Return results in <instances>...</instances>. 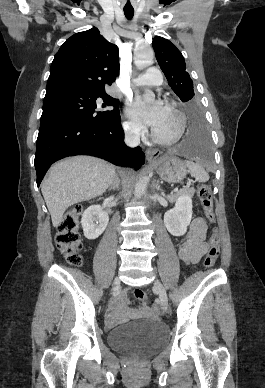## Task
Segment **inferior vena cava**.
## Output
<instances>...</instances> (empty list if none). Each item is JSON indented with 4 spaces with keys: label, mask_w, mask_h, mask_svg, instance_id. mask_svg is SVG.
I'll use <instances>...</instances> for the list:
<instances>
[{
    "label": "inferior vena cava",
    "mask_w": 265,
    "mask_h": 388,
    "mask_svg": "<svg viewBox=\"0 0 265 388\" xmlns=\"http://www.w3.org/2000/svg\"><path fill=\"white\" fill-rule=\"evenodd\" d=\"M125 144L130 148H136L140 144V128H130L125 132Z\"/></svg>",
    "instance_id": "obj_1"
}]
</instances>
